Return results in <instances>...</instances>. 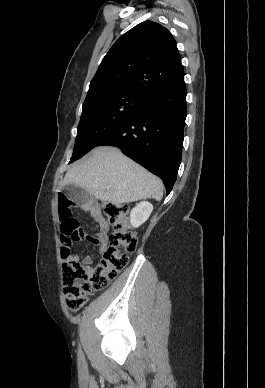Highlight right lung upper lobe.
Wrapping results in <instances>:
<instances>
[{
    "mask_svg": "<svg viewBox=\"0 0 265 388\" xmlns=\"http://www.w3.org/2000/svg\"><path fill=\"white\" fill-rule=\"evenodd\" d=\"M183 78L172 34L156 22L145 21L122 35L110 48L90 83L88 95L112 90L145 96Z\"/></svg>",
    "mask_w": 265,
    "mask_h": 388,
    "instance_id": "1",
    "label": "right lung upper lobe"
}]
</instances>
